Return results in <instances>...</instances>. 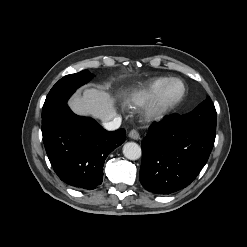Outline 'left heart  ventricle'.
I'll return each instance as SVG.
<instances>
[{"instance_id": "obj_1", "label": "left heart ventricle", "mask_w": 247, "mask_h": 247, "mask_svg": "<svg viewBox=\"0 0 247 247\" xmlns=\"http://www.w3.org/2000/svg\"><path fill=\"white\" fill-rule=\"evenodd\" d=\"M181 91V86L179 83H172L168 86L165 92V100L171 101L178 96Z\"/></svg>"}]
</instances>
